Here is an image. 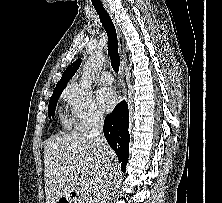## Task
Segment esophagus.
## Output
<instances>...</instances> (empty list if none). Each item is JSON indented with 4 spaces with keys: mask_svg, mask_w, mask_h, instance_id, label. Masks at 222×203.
<instances>
[{
    "mask_svg": "<svg viewBox=\"0 0 222 203\" xmlns=\"http://www.w3.org/2000/svg\"><path fill=\"white\" fill-rule=\"evenodd\" d=\"M105 8H106L108 14L110 15V17L115 25V28H116L119 55H120V70H119V78H120V82H121V90H120L121 96L120 97H123L125 94L124 69H125V63H126V54L124 51L123 36H122V32L118 26V23L116 21L113 11L110 9V7L107 4H105Z\"/></svg>",
    "mask_w": 222,
    "mask_h": 203,
    "instance_id": "1",
    "label": "esophagus"
}]
</instances>
